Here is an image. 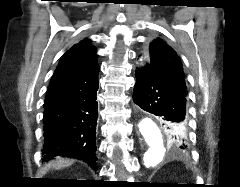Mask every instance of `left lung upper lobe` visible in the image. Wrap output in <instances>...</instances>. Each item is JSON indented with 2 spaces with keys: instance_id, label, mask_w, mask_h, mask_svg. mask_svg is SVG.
<instances>
[{
  "instance_id": "obj_1",
  "label": "left lung upper lobe",
  "mask_w": 240,
  "mask_h": 187,
  "mask_svg": "<svg viewBox=\"0 0 240 187\" xmlns=\"http://www.w3.org/2000/svg\"><path fill=\"white\" fill-rule=\"evenodd\" d=\"M149 50L151 56L150 66L167 81L186 88L182 64L176 52L161 38L153 39L150 43ZM163 126L165 127L168 141L170 144H174V141L170 139L165 122H163ZM175 128L178 132L185 133V136L182 137L183 142L177 144V147L183 148L184 145H188L186 127L176 124Z\"/></svg>"
}]
</instances>
